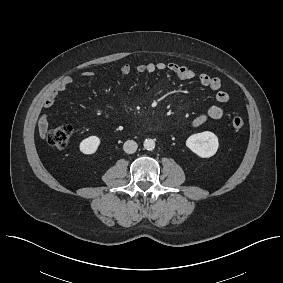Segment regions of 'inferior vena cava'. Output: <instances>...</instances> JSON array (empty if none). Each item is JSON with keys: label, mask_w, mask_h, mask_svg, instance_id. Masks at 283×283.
Masks as SVG:
<instances>
[{"label": "inferior vena cava", "mask_w": 283, "mask_h": 283, "mask_svg": "<svg viewBox=\"0 0 283 283\" xmlns=\"http://www.w3.org/2000/svg\"><path fill=\"white\" fill-rule=\"evenodd\" d=\"M137 148L138 145L133 140H127L123 145V150L128 154L134 153L137 150Z\"/></svg>", "instance_id": "inferior-vena-cava-1"}]
</instances>
